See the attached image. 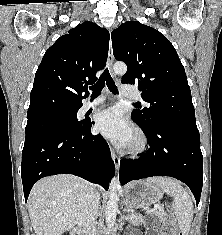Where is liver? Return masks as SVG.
I'll use <instances>...</instances> for the list:
<instances>
[{"mask_svg": "<svg viewBox=\"0 0 222 235\" xmlns=\"http://www.w3.org/2000/svg\"><path fill=\"white\" fill-rule=\"evenodd\" d=\"M90 184L73 175L39 180L28 198V212L36 235H62L79 221Z\"/></svg>", "mask_w": 222, "mask_h": 235, "instance_id": "6515ba94", "label": "liver"}]
</instances>
